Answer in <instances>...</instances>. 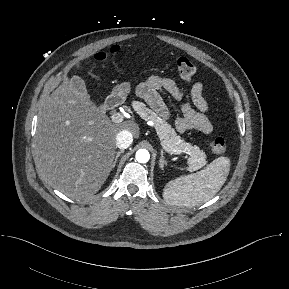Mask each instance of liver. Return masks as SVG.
<instances>
[{"label": "liver", "instance_id": "liver-1", "mask_svg": "<svg viewBox=\"0 0 289 289\" xmlns=\"http://www.w3.org/2000/svg\"><path fill=\"white\" fill-rule=\"evenodd\" d=\"M121 130L139 137L136 123L113 124L86 92L64 79L39 115L34 148L39 174L71 199L91 197L110 174Z\"/></svg>", "mask_w": 289, "mask_h": 289}]
</instances>
